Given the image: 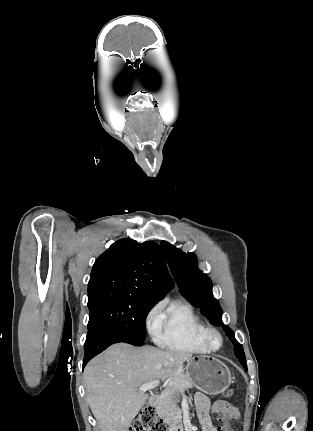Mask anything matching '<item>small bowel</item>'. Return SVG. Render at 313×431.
I'll return each mask as SVG.
<instances>
[{
    "instance_id": "c3829d8e",
    "label": "small bowel",
    "mask_w": 313,
    "mask_h": 431,
    "mask_svg": "<svg viewBox=\"0 0 313 431\" xmlns=\"http://www.w3.org/2000/svg\"><path fill=\"white\" fill-rule=\"evenodd\" d=\"M195 401L202 431H218L214 424V415L216 413H225L228 418L234 420L240 416L239 410L225 401H216L211 405L208 397L203 393H197Z\"/></svg>"
}]
</instances>
